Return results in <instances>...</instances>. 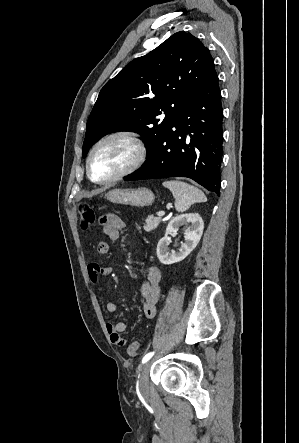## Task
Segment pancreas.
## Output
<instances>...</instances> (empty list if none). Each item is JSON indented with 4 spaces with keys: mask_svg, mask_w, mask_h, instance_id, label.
Returning <instances> with one entry per match:
<instances>
[{
    "mask_svg": "<svg viewBox=\"0 0 299 443\" xmlns=\"http://www.w3.org/2000/svg\"><path fill=\"white\" fill-rule=\"evenodd\" d=\"M145 226H144V230L146 231H152L155 230L157 228V226L160 223V218L154 217L152 215L148 216L147 219L145 220Z\"/></svg>",
    "mask_w": 299,
    "mask_h": 443,
    "instance_id": "pancreas-1",
    "label": "pancreas"
}]
</instances>
